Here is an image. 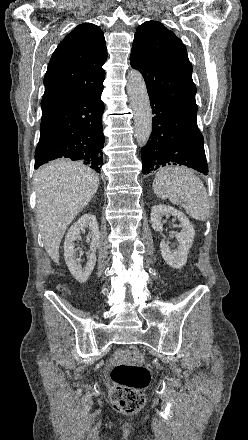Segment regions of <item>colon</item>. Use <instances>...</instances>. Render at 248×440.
Returning <instances> with one entry per match:
<instances>
[{"label": "colon", "instance_id": "5ec220e1", "mask_svg": "<svg viewBox=\"0 0 248 440\" xmlns=\"http://www.w3.org/2000/svg\"><path fill=\"white\" fill-rule=\"evenodd\" d=\"M60 289H65L61 286ZM139 349L130 346L126 349V361L111 370V400L116 411L133 414L145 404L144 389L149 385V369L139 359Z\"/></svg>", "mask_w": 248, "mask_h": 440}]
</instances>
